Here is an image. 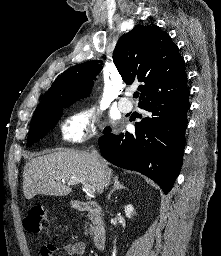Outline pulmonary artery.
<instances>
[{
    "instance_id": "e3ab8cb5",
    "label": "pulmonary artery",
    "mask_w": 221,
    "mask_h": 256,
    "mask_svg": "<svg viewBox=\"0 0 221 256\" xmlns=\"http://www.w3.org/2000/svg\"><path fill=\"white\" fill-rule=\"evenodd\" d=\"M130 95L131 93L127 92L123 97L119 99V102H118L119 109L124 113H129L133 109V104L128 98Z\"/></svg>"
}]
</instances>
